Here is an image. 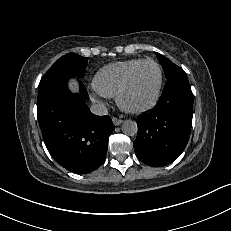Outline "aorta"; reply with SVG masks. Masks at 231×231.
<instances>
[{"instance_id":"aorta-1","label":"aorta","mask_w":231,"mask_h":231,"mask_svg":"<svg viewBox=\"0 0 231 231\" xmlns=\"http://www.w3.org/2000/svg\"><path fill=\"white\" fill-rule=\"evenodd\" d=\"M122 132L128 136H134L138 132L137 123L132 120H125L122 124Z\"/></svg>"}]
</instances>
